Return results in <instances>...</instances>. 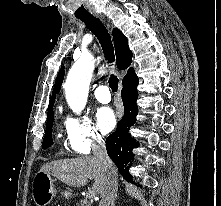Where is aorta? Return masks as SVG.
<instances>
[{"instance_id": "1", "label": "aorta", "mask_w": 221, "mask_h": 206, "mask_svg": "<svg viewBox=\"0 0 221 206\" xmlns=\"http://www.w3.org/2000/svg\"><path fill=\"white\" fill-rule=\"evenodd\" d=\"M94 67L93 56L84 53L68 73L65 83L66 99L72 111L77 114L86 106Z\"/></svg>"}]
</instances>
